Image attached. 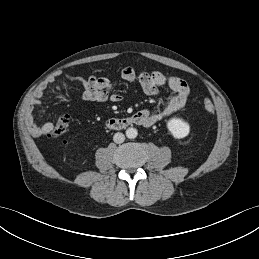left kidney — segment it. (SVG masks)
<instances>
[{"instance_id": "5707ae66", "label": "left kidney", "mask_w": 259, "mask_h": 259, "mask_svg": "<svg viewBox=\"0 0 259 259\" xmlns=\"http://www.w3.org/2000/svg\"><path fill=\"white\" fill-rule=\"evenodd\" d=\"M167 128L176 139H183L187 137L190 132L189 124L179 118L170 119L167 123Z\"/></svg>"}]
</instances>
